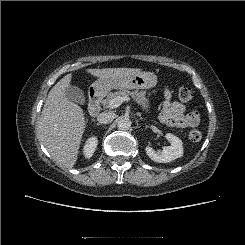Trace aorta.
Here are the masks:
<instances>
[{
  "instance_id": "1",
  "label": "aorta",
  "mask_w": 245,
  "mask_h": 245,
  "mask_svg": "<svg viewBox=\"0 0 245 245\" xmlns=\"http://www.w3.org/2000/svg\"><path fill=\"white\" fill-rule=\"evenodd\" d=\"M131 120L129 118H120L117 122V127L119 130H123V131H126V130H129L131 128Z\"/></svg>"
}]
</instances>
